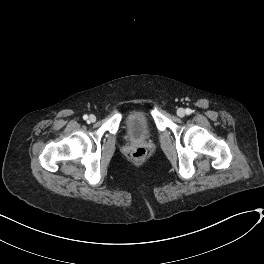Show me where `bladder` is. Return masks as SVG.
<instances>
[{"label": "bladder", "mask_w": 264, "mask_h": 264, "mask_svg": "<svg viewBox=\"0 0 264 264\" xmlns=\"http://www.w3.org/2000/svg\"><path fill=\"white\" fill-rule=\"evenodd\" d=\"M127 132L132 140H142L150 136L146 119L138 111H132L127 119Z\"/></svg>", "instance_id": "bladder-1"}]
</instances>
